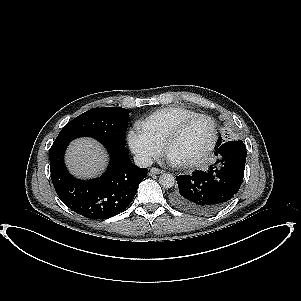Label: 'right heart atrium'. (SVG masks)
I'll return each instance as SVG.
<instances>
[{"label":"right heart atrium","mask_w":301,"mask_h":301,"mask_svg":"<svg viewBox=\"0 0 301 301\" xmlns=\"http://www.w3.org/2000/svg\"><path fill=\"white\" fill-rule=\"evenodd\" d=\"M128 145L137 159L144 164H150L162 152L161 143L138 127H133L128 132Z\"/></svg>","instance_id":"obj_1"}]
</instances>
